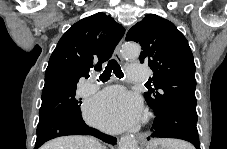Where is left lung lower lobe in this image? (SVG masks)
Segmentation results:
<instances>
[{
  "label": "left lung lower lobe",
  "instance_id": "obj_1",
  "mask_svg": "<svg viewBox=\"0 0 227 149\" xmlns=\"http://www.w3.org/2000/svg\"><path fill=\"white\" fill-rule=\"evenodd\" d=\"M151 138H177L192 143L200 149V142L196 123L198 120L196 111L172 106L167 109H155Z\"/></svg>",
  "mask_w": 227,
  "mask_h": 149
}]
</instances>
